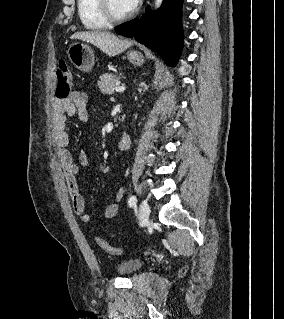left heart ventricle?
<instances>
[{
	"label": "left heart ventricle",
	"mask_w": 284,
	"mask_h": 319,
	"mask_svg": "<svg viewBox=\"0 0 284 319\" xmlns=\"http://www.w3.org/2000/svg\"><path fill=\"white\" fill-rule=\"evenodd\" d=\"M109 3L115 15L121 16L130 12L125 0H109Z\"/></svg>",
	"instance_id": "1"
}]
</instances>
